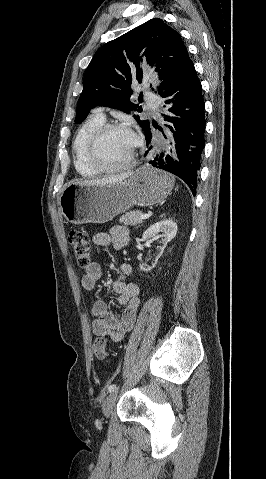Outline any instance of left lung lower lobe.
Masks as SVG:
<instances>
[{"mask_svg": "<svg viewBox=\"0 0 266 479\" xmlns=\"http://www.w3.org/2000/svg\"><path fill=\"white\" fill-rule=\"evenodd\" d=\"M173 96L166 103H172L169 111L174 116L162 114L169 135L163 143L152 141L151 128L145 131L148 150L145 152L149 164L181 178L196 195L197 177L201 155L204 149L205 103L193 63H189L180 77L172 84L163 97ZM163 132L156 125H153Z\"/></svg>", "mask_w": 266, "mask_h": 479, "instance_id": "1", "label": "left lung lower lobe"}]
</instances>
